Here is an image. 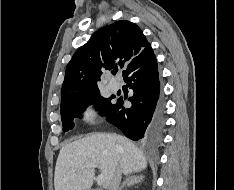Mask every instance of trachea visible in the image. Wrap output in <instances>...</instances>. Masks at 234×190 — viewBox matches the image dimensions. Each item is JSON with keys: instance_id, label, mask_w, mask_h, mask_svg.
<instances>
[{"instance_id": "1", "label": "trachea", "mask_w": 234, "mask_h": 190, "mask_svg": "<svg viewBox=\"0 0 234 190\" xmlns=\"http://www.w3.org/2000/svg\"><path fill=\"white\" fill-rule=\"evenodd\" d=\"M118 70H113L112 74L115 75L117 73Z\"/></svg>"}]
</instances>
